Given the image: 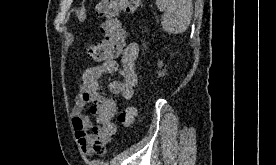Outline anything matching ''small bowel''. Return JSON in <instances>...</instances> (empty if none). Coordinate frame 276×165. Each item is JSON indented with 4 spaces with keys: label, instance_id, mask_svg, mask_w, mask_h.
Wrapping results in <instances>:
<instances>
[{
    "label": "small bowel",
    "instance_id": "c3829d8e",
    "mask_svg": "<svg viewBox=\"0 0 276 165\" xmlns=\"http://www.w3.org/2000/svg\"><path fill=\"white\" fill-rule=\"evenodd\" d=\"M139 51L138 43L131 41L124 47L119 63L115 60L104 61L89 67L81 76L79 92L72 110V124L76 140L81 150L88 156L102 153L116 133V125L113 122L116 105L106 96L101 78L103 75L120 74L122 79L111 81L108 84V91L130 100L138 81L136 62ZM87 105L95 118L96 125L83 114Z\"/></svg>",
    "mask_w": 276,
    "mask_h": 165
}]
</instances>
